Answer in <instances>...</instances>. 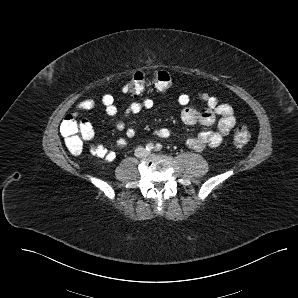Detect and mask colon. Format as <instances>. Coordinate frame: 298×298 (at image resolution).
<instances>
[{
	"instance_id": "5ec220e1",
	"label": "colon",
	"mask_w": 298,
	"mask_h": 298,
	"mask_svg": "<svg viewBox=\"0 0 298 298\" xmlns=\"http://www.w3.org/2000/svg\"><path fill=\"white\" fill-rule=\"evenodd\" d=\"M172 80L170 74L165 70L155 73L154 86L160 92L170 89ZM147 86V77L143 72H136L126 83L123 91L131 96L141 95ZM60 131L64 138L65 146L74 155L82 152L84 142L93 137V128L85 120L79 119L74 113H68L62 120ZM250 131L247 126L239 125L233 133V143L236 147H244L250 140Z\"/></svg>"
}]
</instances>
